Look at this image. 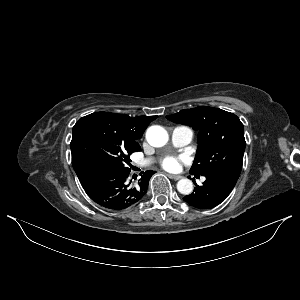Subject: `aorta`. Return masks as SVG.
<instances>
[{
	"instance_id": "1",
	"label": "aorta",
	"mask_w": 300,
	"mask_h": 300,
	"mask_svg": "<svg viewBox=\"0 0 300 300\" xmlns=\"http://www.w3.org/2000/svg\"><path fill=\"white\" fill-rule=\"evenodd\" d=\"M167 131L158 125L149 127L146 131V139L153 147H162L168 142ZM177 190L183 195H189L193 191V183L191 180L184 178L178 181Z\"/></svg>"
}]
</instances>
